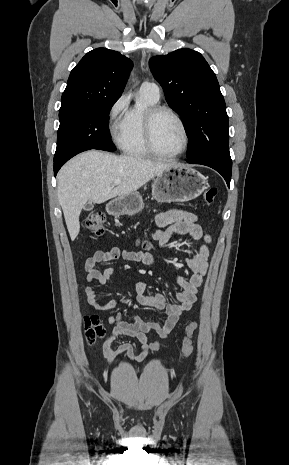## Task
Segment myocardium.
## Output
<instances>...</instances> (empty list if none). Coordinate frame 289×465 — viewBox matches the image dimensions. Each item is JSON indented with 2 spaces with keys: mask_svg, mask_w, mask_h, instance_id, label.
I'll use <instances>...</instances> for the list:
<instances>
[{
  "mask_svg": "<svg viewBox=\"0 0 289 465\" xmlns=\"http://www.w3.org/2000/svg\"><path fill=\"white\" fill-rule=\"evenodd\" d=\"M162 113H167L173 116L178 123L180 124L183 134H184V144L183 147L181 148L180 151L174 153V154H164L158 150L155 144V139H154V125L157 117L162 114ZM144 139H145V144L149 152L161 159H175L183 155L190 144V134L189 130L187 128V125L183 118L172 108L168 106H163V105H153L149 107L144 115Z\"/></svg>",
  "mask_w": 289,
  "mask_h": 465,
  "instance_id": "myocardium-1",
  "label": "myocardium"
}]
</instances>
